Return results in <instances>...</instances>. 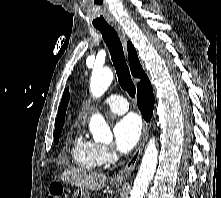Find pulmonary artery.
<instances>
[{"label": "pulmonary artery", "instance_id": "e3ab8cb5", "mask_svg": "<svg viewBox=\"0 0 221 198\" xmlns=\"http://www.w3.org/2000/svg\"><path fill=\"white\" fill-rule=\"evenodd\" d=\"M103 105L116 114H124L129 108L126 99L120 95H111L107 97L104 100Z\"/></svg>", "mask_w": 221, "mask_h": 198}]
</instances>
